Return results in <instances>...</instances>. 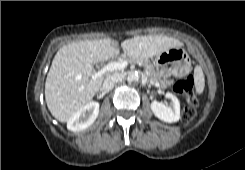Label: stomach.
<instances>
[{"mask_svg": "<svg viewBox=\"0 0 245 170\" xmlns=\"http://www.w3.org/2000/svg\"><path fill=\"white\" fill-rule=\"evenodd\" d=\"M190 66L189 56L180 46L170 48L155 58V67L164 78L184 73L189 70Z\"/></svg>", "mask_w": 245, "mask_h": 170, "instance_id": "obj_1", "label": "stomach"}]
</instances>
